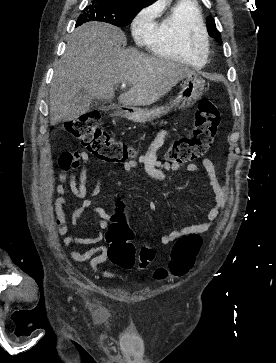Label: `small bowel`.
Segmentation results:
<instances>
[{"label":"small bowel","instance_id":"1","mask_svg":"<svg viewBox=\"0 0 276 363\" xmlns=\"http://www.w3.org/2000/svg\"><path fill=\"white\" fill-rule=\"evenodd\" d=\"M169 135V130L161 131L158 136L153 140L148 152L138 157L135 160L123 162L122 168L131 172L133 169L142 166L145 172L155 180H174L175 174L183 171L184 169L199 173L197 166L193 164L178 165L162 163L158 160L157 152L165 142ZM89 155L83 150L65 151L59 157V167L61 169L58 174L59 184L56 186V191L60 195L71 194L76 198L82 199V203L77 207L70 218L72 225H77L80 218L86 211L93 212L99 220V229L96 230V234L90 237H80L74 235H66L68 232L67 220L62 210V207L68 204L67 199L59 197L56 200V210L58 216L61 218L63 224L59 229V234L63 236V244L69 245H93L86 251L71 250L69 253L70 258L77 263L88 262L90 269L96 274L105 279H113L117 277V273L111 270L102 269L101 265L106 262L108 258L107 247L101 245L103 240V230L110 226L113 214L108 213L104 208L95 205L94 199L100 192L101 180L98 179L94 184V187L90 193L87 191V178L88 169L87 163L89 162ZM203 166L205 167L209 176V186L212 192V206L206 212L205 219L197 224L182 227L162 235L160 241L163 245H168L176 239L192 234V233H205L209 231L220 214L224 210L227 202V189L223 186L217 176V168L215 164L209 159L203 160ZM150 210L154 211L155 206L150 205Z\"/></svg>","mask_w":276,"mask_h":363}]
</instances>
